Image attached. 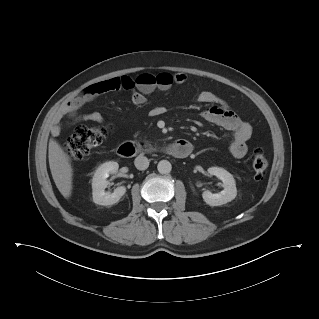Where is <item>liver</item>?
<instances>
[{
    "label": "liver",
    "instance_id": "1",
    "mask_svg": "<svg viewBox=\"0 0 319 319\" xmlns=\"http://www.w3.org/2000/svg\"><path fill=\"white\" fill-rule=\"evenodd\" d=\"M49 166L56 187L68 199L72 193L73 168L69 157L61 145L54 139H50L48 146Z\"/></svg>",
    "mask_w": 319,
    "mask_h": 319
}]
</instances>
